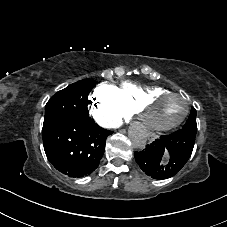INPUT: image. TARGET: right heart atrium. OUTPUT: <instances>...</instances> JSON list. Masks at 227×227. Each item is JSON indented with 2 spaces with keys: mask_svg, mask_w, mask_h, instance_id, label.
Instances as JSON below:
<instances>
[{
  "mask_svg": "<svg viewBox=\"0 0 227 227\" xmlns=\"http://www.w3.org/2000/svg\"><path fill=\"white\" fill-rule=\"evenodd\" d=\"M91 114L95 121L107 129L118 128L129 111L121 100L119 88L102 82L93 90Z\"/></svg>",
  "mask_w": 227,
  "mask_h": 227,
  "instance_id": "right-heart-atrium-1",
  "label": "right heart atrium"
}]
</instances>
